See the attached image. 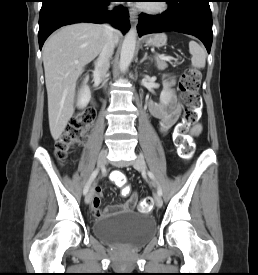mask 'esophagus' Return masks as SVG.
<instances>
[{
  "instance_id": "34e87169",
  "label": "esophagus",
  "mask_w": 258,
  "mask_h": 275,
  "mask_svg": "<svg viewBox=\"0 0 258 275\" xmlns=\"http://www.w3.org/2000/svg\"><path fill=\"white\" fill-rule=\"evenodd\" d=\"M129 16H130L131 23L133 25H136L138 21V11L135 8H131L129 10Z\"/></svg>"
}]
</instances>
